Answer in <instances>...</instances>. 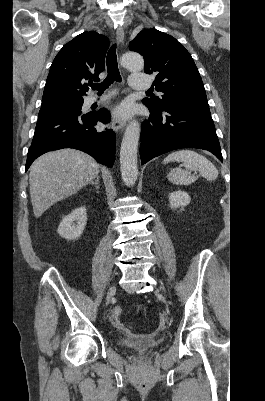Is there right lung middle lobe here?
<instances>
[{
	"instance_id": "obj_1",
	"label": "right lung middle lobe",
	"mask_w": 265,
	"mask_h": 401,
	"mask_svg": "<svg viewBox=\"0 0 265 401\" xmlns=\"http://www.w3.org/2000/svg\"><path fill=\"white\" fill-rule=\"evenodd\" d=\"M82 105H83V99L65 100V101L44 104L40 108L38 118L50 114L78 115L81 114Z\"/></svg>"
}]
</instances>
